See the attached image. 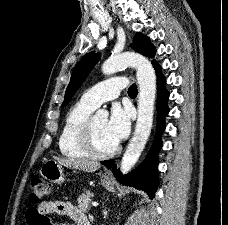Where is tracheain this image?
Returning <instances> with one entry per match:
<instances>
[{
	"label": "trachea",
	"instance_id": "obj_1",
	"mask_svg": "<svg viewBox=\"0 0 228 225\" xmlns=\"http://www.w3.org/2000/svg\"><path fill=\"white\" fill-rule=\"evenodd\" d=\"M128 95H137V87H136L135 83L133 85H131V87H129Z\"/></svg>",
	"mask_w": 228,
	"mask_h": 225
}]
</instances>
